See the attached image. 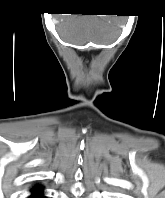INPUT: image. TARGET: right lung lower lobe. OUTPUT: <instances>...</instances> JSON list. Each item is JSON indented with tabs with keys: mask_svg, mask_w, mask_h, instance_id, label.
<instances>
[{
	"mask_svg": "<svg viewBox=\"0 0 165 198\" xmlns=\"http://www.w3.org/2000/svg\"><path fill=\"white\" fill-rule=\"evenodd\" d=\"M31 192H32V194L29 198H46L43 195V191H42L41 187L33 189V190H31Z\"/></svg>",
	"mask_w": 165,
	"mask_h": 198,
	"instance_id": "right-lung-lower-lobe-1",
	"label": "right lung lower lobe"
}]
</instances>
